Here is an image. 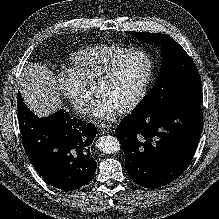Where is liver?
Here are the masks:
<instances>
[{"mask_svg":"<svg viewBox=\"0 0 219 219\" xmlns=\"http://www.w3.org/2000/svg\"><path fill=\"white\" fill-rule=\"evenodd\" d=\"M19 85L25 104L37 116L48 117L60 108L56 80L46 66L31 63L19 78Z\"/></svg>","mask_w":219,"mask_h":219,"instance_id":"obj_1","label":"liver"}]
</instances>
